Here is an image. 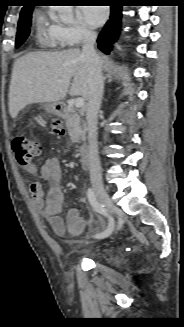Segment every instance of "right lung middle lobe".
Masks as SVG:
<instances>
[{"label": "right lung middle lobe", "instance_id": "1", "mask_svg": "<svg viewBox=\"0 0 184 327\" xmlns=\"http://www.w3.org/2000/svg\"><path fill=\"white\" fill-rule=\"evenodd\" d=\"M32 10L33 8L20 14L15 43L16 48L21 46L30 34Z\"/></svg>", "mask_w": 184, "mask_h": 327}]
</instances>
